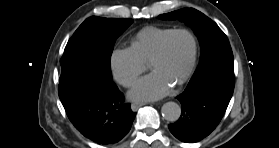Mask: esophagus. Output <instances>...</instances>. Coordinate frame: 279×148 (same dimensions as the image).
<instances>
[{
	"label": "esophagus",
	"instance_id": "34e87169",
	"mask_svg": "<svg viewBox=\"0 0 279 148\" xmlns=\"http://www.w3.org/2000/svg\"><path fill=\"white\" fill-rule=\"evenodd\" d=\"M146 103H143V102H137V103H133L132 105H131V108H132V110H137L140 106H143V105H145Z\"/></svg>",
	"mask_w": 279,
	"mask_h": 148
}]
</instances>
